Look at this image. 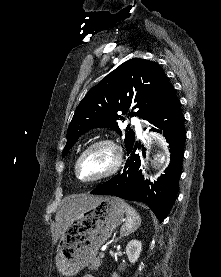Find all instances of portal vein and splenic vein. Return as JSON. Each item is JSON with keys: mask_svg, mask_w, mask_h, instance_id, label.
<instances>
[{"mask_svg": "<svg viewBox=\"0 0 221 277\" xmlns=\"http://www.w3.org/2000/svg\"><path fill=\"white\" fill-rule=\"evenodd\" d=\"M99 255H100L101 257H104V252H100Z\"/></svg>", "mask_w": 221, "mask_h": 277, "instance_id": "1", "label": "portal vein and splenic vein"}]
</instances>
